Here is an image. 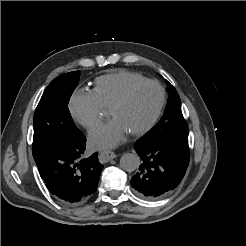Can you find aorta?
<instances>
[{
  "mask_svg": "<svg viewBox=\"0 0 246 246\" xmlns=\"http://www.w3.org/2000/svg\"><path fill=\"white\" fill-rule=\"evenodd\" d=\"M140 165V158L133 153H125L120 158V167L127 171H135Z\"/></svg>",
  "mask_w": 246,
  "mask_h": 246,
  "instance_id": "obj_1",
  "label": "aorta"
}]
</instances>
